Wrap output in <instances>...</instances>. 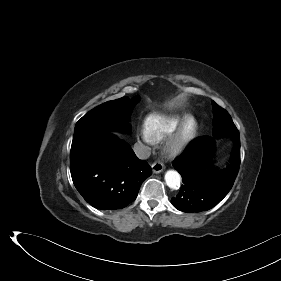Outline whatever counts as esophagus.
I'll use <instances>...</instances> for the list:
<instances>
[{
	"label": "esophagus",
	"instance_id": "obj_1",
	"mask_svg": "<svg viewBox=\"0 0 281 281\" xmlns=\"http://www.w3.org/2000/svg\"><path fill=\"white\" fill-rule=\"evenodd\" d=\"M151 168H152V171L153 173H160L164 170V164L161 163V162H154L152 165H151Z\"/></svg>",
	"mask_w": 281,
	"mask_h": 281
}]
</instances>
